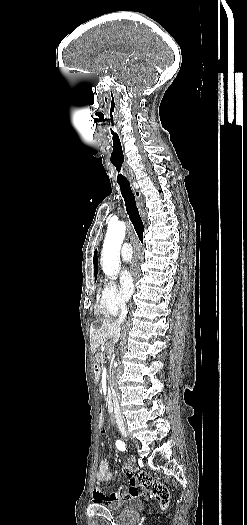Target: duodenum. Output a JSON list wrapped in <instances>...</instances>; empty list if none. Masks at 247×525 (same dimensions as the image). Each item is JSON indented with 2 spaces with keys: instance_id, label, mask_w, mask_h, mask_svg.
<instances>
[{
  "instance_id": "duodenum-1",
  "label": "duodenum",
  "mask_w": 247,
  "mask_h": 525,
  "mask_svg": "<svg viewBox=\"0 0 247 525\" xmlns=\"http://www.w3.org/2000/svg\"><path fill=\"white\" fill-rule=\"evenodd\" d=\"M94 374L97 378L100 376V367L98 364L94 365ZM106 401L109 412H113V397L110 391L107 392Z\"/></svg>"
}]
</instances>
